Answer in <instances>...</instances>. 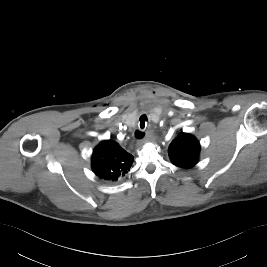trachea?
<instances>
[{"label": "trachea", "mask_w": 267, "mask_h": 267, "mask_svg": "<svg viewBox=\"0 0 267 267\" xmlns=\"http://www.w3.org/2000/svg\"><path fill=\"white\" fill-rule=\"evenodd\" d=\"M139 121H140L139 126L143 130L145 128L146 122H148V118H147V116L145 114H143V115L140 116ZM144 135H145V133L142 132V131L137 130L135 132V137L138 138V139L143 138Z\"/></svg>", "instance_id": "3493384b"}]
</instances>
